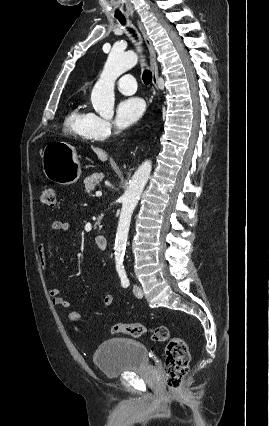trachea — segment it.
I'll list each match as a JSON object with an SVG mask.
<instances>
[{
    "mask_svg": "<svg viewBox=\"0 0 269 426\" xmlns=\"http://www.w3.org/2000/svg\"><path fill=\"white\" fill-rule=\"evenodd\" d=\"M118 20H119V22H120L122 25H125V24H126V19H125V18H118ZM129 30H130V32H131V33H134V31H133L132 29H129ZM135 36H136V35H135ZM142 79H143V82H144L146 85L150 84V83H151V81H152V73H151V71H150V70H148V69H145V70H144V72H143Z\"/></svg>",
    "mask_w": 269,
    "mask_h": 426,
    "instance_id": "3493384b",
    "label": "trachea"
}]
</instances>
